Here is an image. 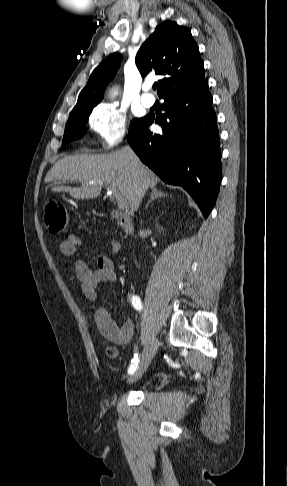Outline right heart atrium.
<instances>
[{
    "label": "right heart atrium",
    "mask_w": 287,
    "mask_h": 486,
    "mask_svg": "<svg viewBox=\"0 0 287 486\" xmlns=\"http://www.w3.org/2000/svg\"><path fill=\"white\" fill-rule=\"evenodd\" d=\"M88 126L96 134L102 147H113L126 133L127 116L116 104L102 103L92 110Z\"/></svg>",
    "instance_id": "obj_1"
}]
</instances>
